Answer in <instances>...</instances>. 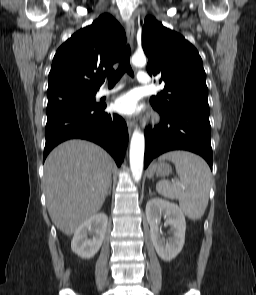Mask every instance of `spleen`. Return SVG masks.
Wrapping results in <instances>:
<instances>
[{
	"label": "spleen",
	"instance_id": "spleen-1",
	"mask_svg": "<svg viewBox=\"0 0 256 295\" xmlns=\"http://www.w3.org/2000/svg\"><path fill=\"white\" fill-rule=\"evenodd\" d=\"M158 160H170L175 164L181 184L162 181L156 184L157 192L166 198L178 199L180 208L190 219H201L208 205L211 182L207 163L201 157L185 151L168 152ZM153 172L154 166L150 174Z\"/></svg>",
	"mask_w": 256,
	"mask_h": 295
}]
</instances>
